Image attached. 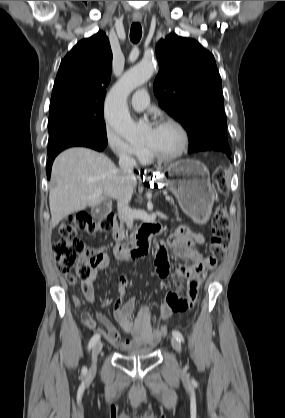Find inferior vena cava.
Masks as SVG:
<instances>
[{
	"instance_id": "inferior-vena-cava-1",
	"label": "inferior vena cava",
	"mask_w": 285,
	"mask_h": 418,
	"mask_svg": "<svg viewBox=\"0 0 285 418\" xmlns=\"http://www.w3.org/2000/svg\"><path fill=\"white\" fill-rule=\"evenodd\" d=\"M119 166H120L121 172L126 177H133L134 176L133 170L135 167H137V163L133 157H131L125 151H122L119 154ZM131 197H132V188L128 184L125 187L124 193L117 199L118 214L120 218L124 220V222L126 223L129 229H132L133 220H134L133 215H132V210L128 205L131 200Z\"/></svg>"
}]
</instances>
